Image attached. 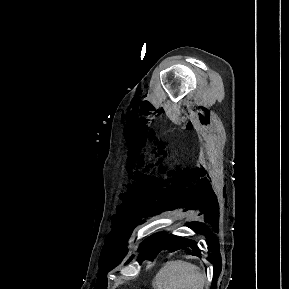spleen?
Wrapping results in <instances>:
<instances>
[{
  "label": "spleen",
  "instance_id": "spleen-1",
  "mask_svg": "<svg viewBox=\"0 0 289 289\" xmlns=\"http://www.w3.org/2000/svg\"><path fill=\"white\" fill-rule=\"evenodd\" d=\"M205 276L198 266L183 260L167 262L157 273L154 289H203Z\"/></svg>",
  "mask_w": 289,
  "mask_h": 289
}]
</instances>
